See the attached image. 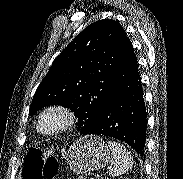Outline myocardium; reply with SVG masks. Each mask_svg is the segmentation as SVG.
Returning a JSON list of instances; mask_svg holds the SVG:
<instances>
[{"mask_svg": "<svg viewBox=\"0 0 183 179\" xmlns=\"http://www.w3.org/2000/svg\"><path fill=\"white\" fill-rule=\"evenodd\" d=\"M51 113L60 115L62 117V123L58 127L46 131L42 128V121L46 115ZM76 119V114L70 107L62 104H53L44 108L39 114L37 120V130L39 133L45 136L58 135L73 128L76 123Z\"/></svg>", "mask_w": 183, "mask_h": 179, "instance_id": "f54148a6", "label": "myocardium"}]
</instances>
